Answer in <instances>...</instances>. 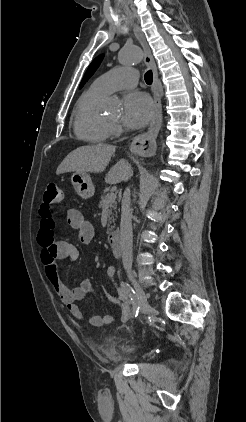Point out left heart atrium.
<instances>
[{"mask_svg":"<svg viewBox=\"0 0 246 422\" xmlns=\"http://www.w3.org/2000/svg\"><path fill=\"white\" fill-rule=\"evenodd\" d=\"M153 111V103L147 94L130 92L123 100L122 123L130 129L141 128L150 121Z\"/></svg>","mask_w":246,"mask_h":422,"instance_id":"1","label":"left heart atrium"}]
</instances>
